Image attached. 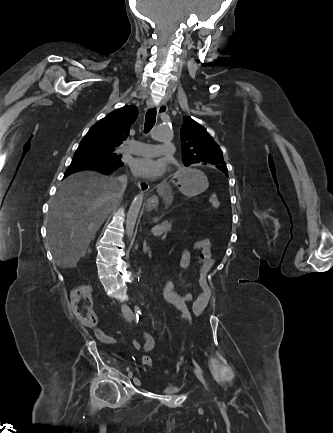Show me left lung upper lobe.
I'll use <instances>...</instances> for the list:
<instances>
[{
    "mask_svg": "<svg viewBox=\"0 0 333 433\" xmlns=\"http://www.w3.org/2000/svg\"><path fill=\"white\" fill-rule=\"evenodd\" d=\"M180 136L185 166L202 163L213 164L228 176L220 147L202 125L191 117L185 116L183 117Z\"/></svg>",
    "mask_w": 333,
    "mask_h": 433,
    "instance_id": "1",
    "label": "left lung upper lobe"
}]
</instances>
